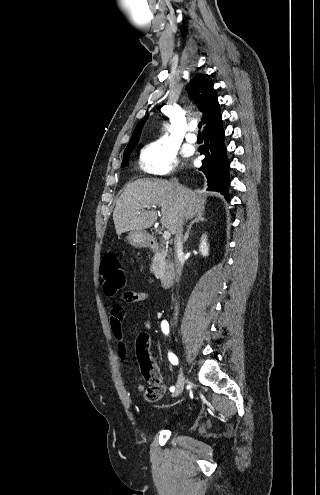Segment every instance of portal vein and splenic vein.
I'll list each match as a JSON object with an SVG mask.
<instances>
[{
    "mask_svg": "<svg viewBox=\"0 0 320 495\" xmlns=\"http://www.w3.org/2000/svg\"><path fill=\"white\" fill-rule=\"evenodd\" d=\"M170 237H171L170 231H164V233H163L164 241H168L170 239Z\"/></svg>",
    "mask_w": 320,
    "mask_h": 495,
    "instance_id": "obj_1",
    "label": "portal vein and splenic vein"
}]
</instances>
